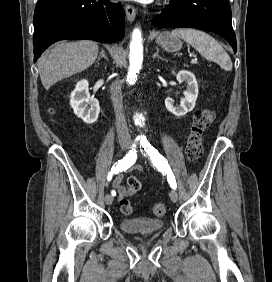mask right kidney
<instances>
[{
	"label": "right kidney",
	"instance_id": "obj_1",
	"mask_svg": "<svg viewBox=\"0 0 272 282\" xmlns=\"http://www.w3.org/2000/svg\"><path fill=\"white\" fill-rule=\"evenodd\" d=\"M89 83L86 79L80 80L70 95V105L77 117L81 118L86 124H93L97 121L100 106L99 101L90 97Z\"/></svg>",
	"mask_w": 272,
	"mask_h": 282
}]
</instances>
